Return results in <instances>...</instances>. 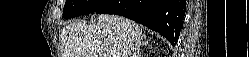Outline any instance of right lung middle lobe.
Returning <instances> with one entry per match:
<instances>
[{
    "label": "right lung middle lobe",
    "mask_w": 249,
    "mask_h": 57,
    "mask_svg": "<svg viewBox=\"0 0 249 57\" xmlns=\"http://www.w3.org/2000/svg\"><path fill=\"white\" fill-rule=\"evenodd\" d=\"M108 2L109 0H68L65 3L62 18L70 19L94 12Z\"/></svg>",
    "instance_id": "right-lung-middle-lobe-1"
}]
</instances>
